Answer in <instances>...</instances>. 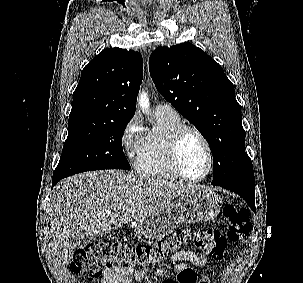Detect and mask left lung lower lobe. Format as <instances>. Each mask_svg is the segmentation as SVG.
<instances>
[{
    "label": "left lung lower lobe",
    "mask_w": 303,
    "mask_h": 283,
    "mask_svg": "<svg viewBox=\"0 0 303 283\" xmlns=\"http://www.w3.org/2000/svg\"><path fill=\"white\" fill-rule=\"evenodd\" d=\"M217 186L223 187L240 195L256 213L255 184H222Z\"/></svg>",
    "instance_id": "0a47b994"
}]
</instances>
